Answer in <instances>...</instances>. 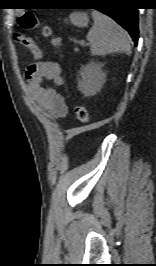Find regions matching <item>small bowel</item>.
<instances>
[{
  "label": "small bowel",
  "instance_id": "small-bowel-1",
  "mask_svg": "<svg viewBox=\"0 0 156 266\" xmlns=\"http://www.w3.org/2000/svg\"><path fill=\"white\" fill-rule=\"evenodd\" d=\"M25 76L34 105L53 119H65L68 107L64 96L54 87L45 85V81H51L55 87L64 84L60 65L54 61L34 63L28 66Z\"/></svg>",
  "mask_w": 156,
  "mask_h": 266
}]
</instances>
